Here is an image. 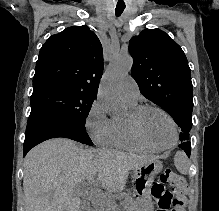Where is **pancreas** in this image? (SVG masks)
<instances>
[{"label":"pancreas","instance_id":"1","mask_svg":"<svg viewBox=\"0 0 219 211\" xmlns=\"http://www.w3.org/2000/svg\"><path fill=\"white\" fill-rule=\"evenodd\" d=\"M105 211H137L139 205L136 204L135 200H115L114 203L112 200L104 201Z\"/></svg>","mask_w":219,"mask_h":211}]
</instances>
